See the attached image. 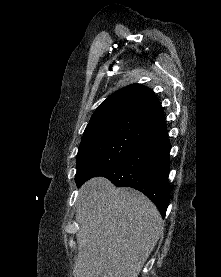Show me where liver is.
I'll use <instances>...</instances> for the list:
<instances>
[{
  "label": "liver",
  "instance_id": "liver-1",
  "mask_svg": "<svg viewBox=\"0 0 221 277\" xmlns=\"http://www.w3.org/2000/svg\"><path fill=\"white\" fill-rule=\"evenodd\" d=\"M76 212L74 277H138L164 230L154 203L95 177L79 189Z\"/></svg>",
  "mask_w": 221,
  "mask_h": 277
}]
</instances>
